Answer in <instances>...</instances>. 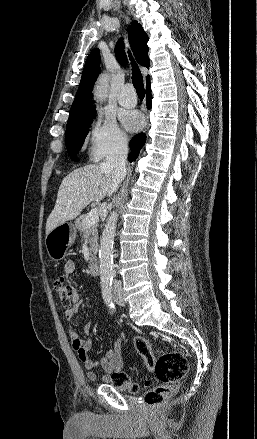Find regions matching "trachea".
Returning a JSON list of instances; mask_svg holds the SVG:
<instances>
[{"mask_svg": "<svg viewBox=\"0 0 257 439\" xmlns=\"http://www.w3.org/2000/svg\"><path fill=\"white\" fill-rule=\"evenodd\" d=\"M129 56H130V59L132 60V83H133V86L136 89L138 95H144L145 91H144L143 77H142L141 71H140L138 65L136 64V62L134 61V59L132 58L130 52H129Z\"/></svg>", "mask_w": 257, "mask_h": 439, "instance_id": "1", "label": "trachea"}]
</instances>
